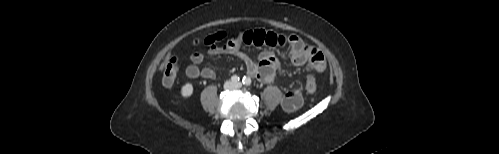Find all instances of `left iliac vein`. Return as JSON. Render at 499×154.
<instances>
[{"label": "left iliac vein", "instance_id": "1", "mask_svg": "<svg viewBox=\"0 0 499 154\" xmlns=\"http://www.w3.org/2000/svg\"><path fill=\"white\" fill-rule=\"evenodd\" d=\"M236 87H241V83H236Z\"/></svg>", "mask_w": 499, "mask_h": 154}]
</instances>
